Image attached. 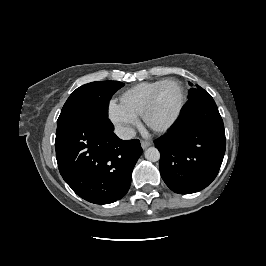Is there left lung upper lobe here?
Wrapping results in <instances>:
<instances>
[{"label":"left lung upper lobe","instance_id":"1","mask_svg":"<svg viewBox=\"0 0 266 266\" xmlns=\"http://www.w3.org/2000/svg\"><path fill=\"white\" fill-rule=\"evenodd\" d=\"M207 91L204 90L203 88H201L200 86H198L197 88H193L190 90L189 94H190V99H192L195 96H198L200 94L206 93Z\"/></svg>","mask_w":266,"mask_h":266}]
</instances>
